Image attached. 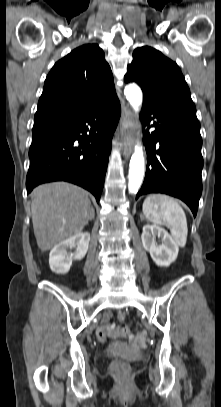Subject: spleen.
Segmentation results:
<instances>
[{
  "mask_svg": "<svg viewBox=\"0 0 221 407\" xmlns=\"http://www.w3.org/2000/svg\"><path fill=\"white\" fill-rule=\"evenodd\" d=\"M142 210L150 222L166 225L178 245L182 247L186 245L187 219L182 207L175 199L164 194H151L144 200Z\"/></svg>",
  "mask_w": 221,
  "mask_h": 407,
  "instance_id": "obj_1",
  "label": "spleen"
}]
</instances>
